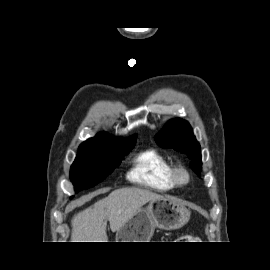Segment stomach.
<instances>
[{"instance_id":"obj_1","label":"stomach","mask_w":270,"mask_h":270,"mask_svg":"<svg viewBox=\"0 0 270 270\" xmlns=\"http://www.w3.org/2000/svg\"><path fill=\"white\" fill-rule=\"evenodd\" d=\"M190 219V211L179 201L162 197L138 209L116 233V242H149L155 228L175 230Z\"/></svg>"}]
</instances>
